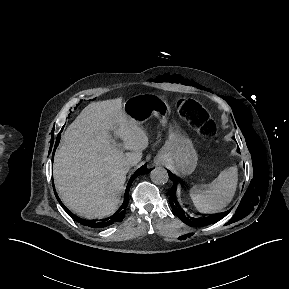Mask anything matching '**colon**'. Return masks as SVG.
Listing matches in <instances>:
<instances>
[{"mask_svg": "<svg viewBox=\"0 0 289 289\" xmlns=\"http://www.w3.org/2000/svg\"><path fill=\"white\" fill-rule=\"evenodd\" d=\"M178 107L188 119L196 122L207 134L213 133L208 124L207 114L200 104L191 99H180Z\"/></svg>", "mask_w": 289, "mask_h": 289, "instance_id": "obj_1", "label": "colon"}]
</instances>
